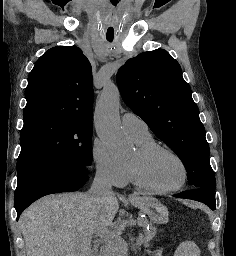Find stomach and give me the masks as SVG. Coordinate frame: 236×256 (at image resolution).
I'll list each match as a JSON object with an SVG mask.
<instances>
[{
  "label": "stomach",
  "instance_id": "stomach-1",
  "mask_svg": "<svg viewBox=\"0 0 236 256\" xmlns=\"http://www.w3.org/2000/svg\"><path fill=\"white\" fill-rule=\"evenodd\" d=\"M131 203L147 214L154 223L163 224L168 222V210L157 199L145 196L133 200Z\"/></svg>",
  "mask_w": 236,
  "mask_h": 256
}]
</instances>
